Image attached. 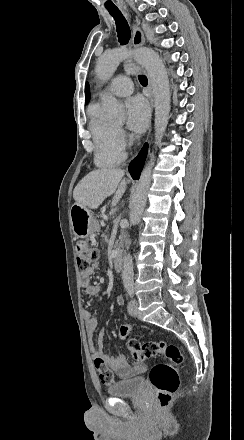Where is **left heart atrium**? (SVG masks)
Masks as SVG:
<instances>
[{
	"mask_svg": "<svg viewBox=\"0 0 244 440\" xmlns=\"http://www.w3.org/2000/svg\"><path fill=\"white\" fill-rule=\"evenodd\" d=\"M128 126L135 132H142L149 123L150 110L144 98L137 96L126 102Z\"/></svg>",
	"mask_w": 244,
	"mask_h": 440,
	"instance_id": "left-heart-atrium-1",
	"label": "left heart atrium"
}]
</instances>
